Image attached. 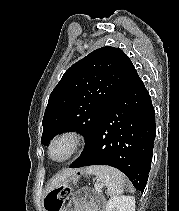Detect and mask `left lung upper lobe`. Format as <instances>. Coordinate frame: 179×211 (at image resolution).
Listing matches in <instances>:
<instances>
[{"instance_id": "left-lung-upper-lobe-1", "label": "left lung upper lobe", "mask_w": 179, "mask_h": 211, "mask_svg": "<svg viewBox=\"0 0 179 211\" xmlns=\"http://www.w3.org/2000/svg\"><path fill=\"white\" fill-rule=\"evenodd\" d=\"M132 67L121 49L110 46L73 64L50 94L42 121V144L59 133L78 130L85 136V150Z\"/></svg>"}]
</instances>
